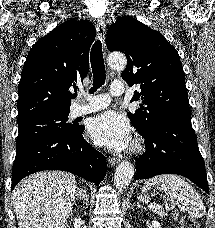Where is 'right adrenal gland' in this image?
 Listing matches in <instances>:
<instances>
[{"instance_id": "obj_1", "label": "right adrenal gland", "mask_w": 215, "mask_h": 228, "mask_svg": "<svg viewBox=\"0 0 215 228\" xmlns=\"http://www.w3.org/2000/svg\"><path fill=\"white\" fill-rule=\"evenodd\" d=\"M77 198H79V200H83L84 198V202L85 204H83V206H89V198H87L85 192H83L82 188H77V194H76Z\"/></svg>"}]
</instances>
